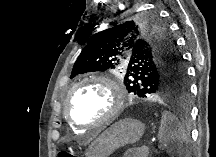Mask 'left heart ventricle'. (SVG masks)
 Returning <instances> with one entry per match:
<instances>
[{
    "label": "left heart ventricle",
    "mask_w": 216,
    "mask_h": 157,
    "mask_svg": "<svg viewBox=\"0 0 216 157\" xmlns=\"http://www.w3.org/2000/svg\"><path fill=\"white\" fill-rule=\"evenodd\" d=\"M111 106V95L99 84L91 83L77 88L72 94L71 113L82 123L101 118Z\"/></svg>",
    "instance_id": "left-heart-ventricle-1"
}]
</instances>
